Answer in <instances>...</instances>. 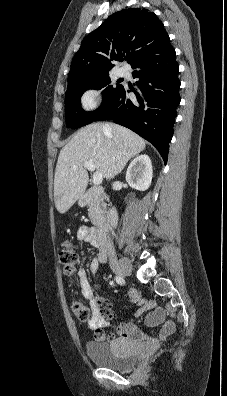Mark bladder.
Returning a JSON list of instances; mask_svg holds the SVG:
<instances>
[{"mask_svg":"<svg viewBox=\"0 0 227 396\" xmlns=\"http://www.w3.org/2000/svg\"><path fill=\"white\" fill-rule=\"evenodd\" d=\"M86 354L96 365L115 371H126L135 366L138 356L124 343H101L90 341L86 344Z\"/></svg>","mask_w":227,"mask_h":396,"instance_id":"bladder-1","label":"bladder"}]
</instances>
